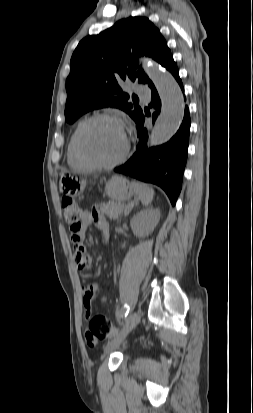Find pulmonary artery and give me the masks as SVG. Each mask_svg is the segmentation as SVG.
<instances>
[{"label": "pulmonary artery", "instance_id": "e3ab8cb5", "mask_svg": "<svg viewBox=\"0 0 253 413\" xmlns=\"http://www.w3.org/2000/svg\"><path fill=\"white\" fill-rule=\"evenodd\" d=\"M135 92L140 95L142 98L148 100L150 97V90L149 88L143 86V85H138L135 87Z\"/></svg>", "mask_w": 253, "mask_h": 413}]
</instances>
